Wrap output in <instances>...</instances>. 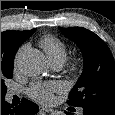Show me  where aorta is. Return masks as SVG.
I'll list each match as a JSON object with an SVG mask.
<instances>
[{"instance_id":"762f6f07","label":"aorta","mask_w":115,"mask_h":115,"mask_svg":"<svg viewBox=\"0 0 115 115\" xmlns=\"http://www.w3.org/2000/svg\"><path fill=\"white\" fill-rule=\"evenodd\" d=\"M17 63L20 70L28 76H37L46 69V59L42 52L29 49L19 53ZM50 115H66L63 111L54 110Z\"/></svg>"}]
</instances>
